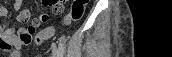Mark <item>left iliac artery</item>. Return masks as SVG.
<instances>
[{"mask_svg":"<svg viewBox=\"0 0 172 57\" xmlns=\"http://www.w3.org/2000/svg\"><path fill=\"white\" fill-rule=\"evenodd\" d=\"M58 53H59V57H64L65 55V47L62 38H60L59 40Z\"/></svg>","mask_w":172,"mask_h":57,"instance_id":"44dca946","label":"left iliac artery"}]
</instances>
